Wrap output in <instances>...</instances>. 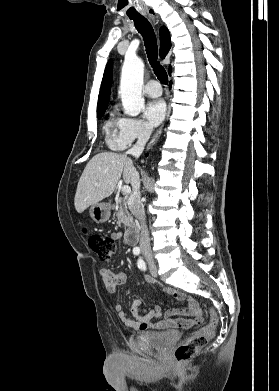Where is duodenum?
I'll return each instance as SVG.
<instances>
[{
  "label": "duodenum",
  "mask_w": 279,
  "mask_h": 391,
  "mask_svg": "<svg viewBox=\"0 0 279 391\" xmlns=\"http://www.w3.org/2000/svg\"><path fill=\"white\" fill-rule=\"evenodd\" d=\"M140 239V229L138 226H131L125 234V240L129 245H135Z\"/></svg>",
  "instance_id": "duodenum-1"
}]
</instances>
